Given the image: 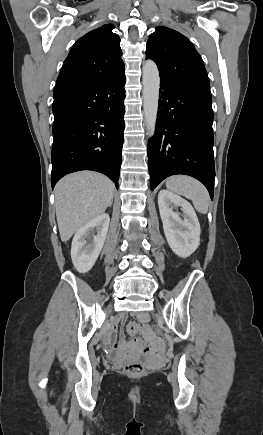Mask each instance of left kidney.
Segmentation results:
<instances>
[{
    "label": "left kidney",
    "instance_id": "left-kidney-1",
    "mask_svg": "<svg viewBox=\"0 0 263 435\" xmlns=\"http://www.w3.org/2000/svg\"><path fill=\"white\" fill-rule=\"evenodd\" d=\"M158 205L170 248L182 258L190 256L199 246L201 233L194 208L187 200L168 190L159 192ZM177 207H181L183 219L175 211Z\"/></svg>",
    "mask_w": 263,
    "mask_h": 435
}]
</instances>
